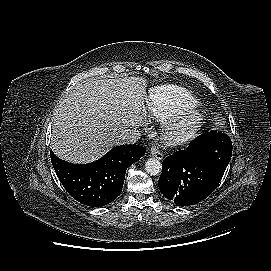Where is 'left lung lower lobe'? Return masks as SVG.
Wrapping results in <instances>:
<instances>
[{"label": "left lung lower lobe", "instance_id": "1", "mask_svg": "<svg viewBox=\"0 0 271 271\" xmlns=\"http://www.w3.org/2000/svg\"><path fill=\"white\" fill-rule=\"evenodd\" d=\"M226 134L206 132L194 139L186 150L165 158L158 181L161 193L178 206L195 205L208 197L218 186L225 170L205 161L201 147L220 141Z\"/></svg>", "mask_w": 271, "mask_h": 271}]
</instances>
